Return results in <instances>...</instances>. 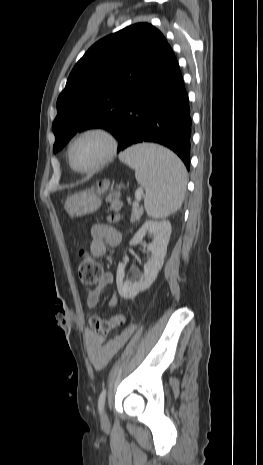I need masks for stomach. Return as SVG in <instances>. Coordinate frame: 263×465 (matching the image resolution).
Listing matches in <instances>:
<instances>
[{
  "label": "stomach",
  "instance_id": "1",
  "mask_svg": "<svg viewBox=\"0 0 263 465\" xmlns=\"http://www.w3.org/2000/svg\"><path fill=\"white\" fill-rule=\"evenodd\" d=\"M101 204L102 199L96 191L94 189H87L68 197L64 208L71 217H78L97 211Z\"/></svg>",
  "mask_w": 263,
  "mask_h": 465
}]
</instances>
